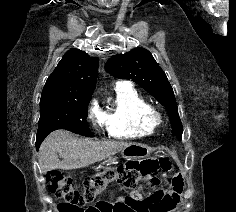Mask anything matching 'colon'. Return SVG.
<instances>
[{"mask_svg":"<svg viewBox=\"0 0 236 212\" xmlns=\"http://www.w3.org/2000/svg\"><path fill=\"white\" fill-rule=\"evenodd\" d=\"M170 167L167 160L128 161L120 163L115 168L101 170L83 180L81 184L59 171L48 172L45 182L47 189L64 202L62 212H82L79 210L80 207L93 202L98 194L113 183L124 185L128 180L138 182V179L143 178L148 179L149 188L157 189L163 182L159 172ZM119 180H122V183H119ZM166 184L171 187L173 182L168 180Z\"/></svg>","mask_w":236,"mask_h":212,"instance_id":"colon-1","label":"colon"}]
</instances>
